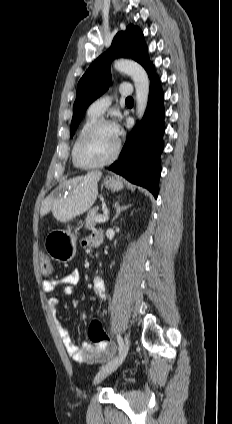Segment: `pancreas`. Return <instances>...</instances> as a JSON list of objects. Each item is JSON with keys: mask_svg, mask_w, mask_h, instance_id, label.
I'll return each instance as SVG.
<instances>
[{"mask_svg": "<svg viewBox=\"0 0 232 424\" xmlns=\"http://www.w3.org/2000/svg\"><path fill=\"white\" fill-rule=\"evenodd\" d=\"M97 211H98V208L97 207H95V208H93L89 213H88V215H87V217H86V221H85V228L86 229H89V230H91V229H93L94 227H95V225L98 223V222H96L95 221V218L97 217V216H99V214L97 213Z\"/></svg>", "mask_w": 232, "mask_h": 424, "instance_id": "obj_1", "label": "pancreas"}]
</instances>
